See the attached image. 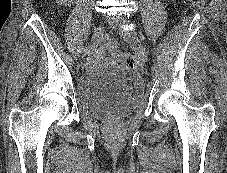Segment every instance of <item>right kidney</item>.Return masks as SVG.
Instances as JSON below:
<instances>
[{
    "label": "right kidney",
    "mask_w": 227,
    "mask_h": 173,
    "mask_svg": "<svg viewBox=\"0 0 227 173\" xmlns=\"http://www.w3.org/2000/svg\"><path fill=\"white\" fill-rule=\"evenodd\" d=\"M57 2L60 3V4L66 5L67 2H73V0H57Z\"/></svg>",
    "instance_id": "right-kidney-1"
}]
</instances>
